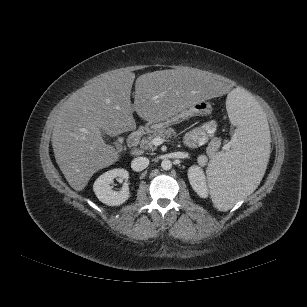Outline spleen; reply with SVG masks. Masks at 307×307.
I'll use <instances>...</instances> for the list:
<instances>
[{"label": "spleen", "instance_id": "3e777b00", "mask_svg": "<svg viewBox=\"0 0 307 307\" xmlns=\"http://www.w3.org/2000/svg\"><path fill=\"white\" fill-rule=\"evenodd\" d=\"M226 109L231 122L238 126L233 148L213 158L207 168L211 199L220 211L231 209L256 189L273 141L266 116L251 95L232 91Z\"/></svg>", "mask_w": 307, "mask_h": 307}]
</instances>
